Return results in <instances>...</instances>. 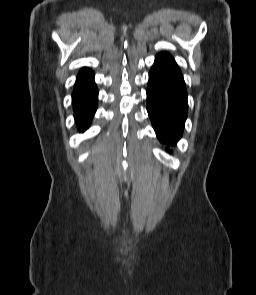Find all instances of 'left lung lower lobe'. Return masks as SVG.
I'll use <instances>...</instances> for the list:
<instances>
[{
	"mask_svg": "<svg viewBox=\"0 0 256 295\" xmlns=\"http://www.w3.org/2000/svg\"><path fill=\"white\" fill-rule=\"evenodd\" d=\"M147 111L160 142L175 145L188 112L185 82L177 65L155 60L149 72Z\"/></svg>",
	"mask_w": 256,
	"mask_h": 295,
	"instance_id": "1",
	"label": "left lung lower lobe"
}]
</instances>
